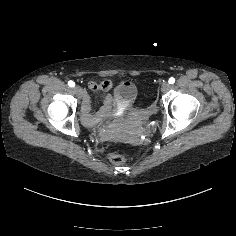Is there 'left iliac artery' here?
Segmentation results:
<instances>
[{
	"label": "left iliac artery",
	"mask_w": 236,
	"mask_h": 236,
	"mask_svg": "<svg viewBox=\"0 0 236 236\" xmlns=\"http://www.w3.org/2000/svg\"><path fill=\"white\" fill-rule=\"evenodd\" d=\"M170 84H174V82H175V78H173V77H171V78H169V81H168Z\"/></svg>",
	"instance_id": "44dca946"
}]
</instances>
